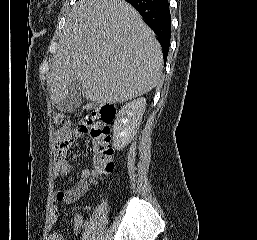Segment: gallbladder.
<instances>
[{
    "label": "gallbladder",
    "mask_w": 257,
    "mask_h": 240,
    "mask_svg": "<svg viewBox=\"0 0 257 240\" xmlns=\"http://www.w3.org/2000/svg\"><path fill=\"white\" fill-rule=\"evenodd\" d=\"M82 101V87L79 80L74 81L68 90L65 99L61 100L56 108L58 111L70 113L76 110Z\"/></svg>",
    "instance_id": "bac80fb5"
}]
</instances>
